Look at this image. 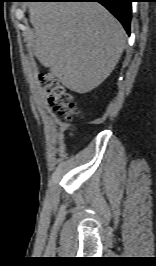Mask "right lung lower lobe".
<instances>
[{
    "label": "right lung lower lobe",
    "mask_w": 156,
    "mask_h": 266,
    "mask_svg": "<svg viewBox=\"0 0 156 266\" xmlns=\"http://www.w3.org/2000/svg\"><path fill=\"white\" fill-rule=\"evenodd\" d=\"M48 2H99L105 6L124 26L130 34L132 0H36Z\"/></svg>",
    "instance_id": "1"
}]
</instances>
